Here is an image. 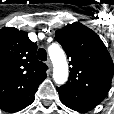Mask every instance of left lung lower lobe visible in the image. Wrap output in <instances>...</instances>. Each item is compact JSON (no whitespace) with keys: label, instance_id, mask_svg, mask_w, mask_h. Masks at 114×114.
I'll return each instance as SVG.
<instances>
[{"label":"left lung lower lobe","instance_id":"0a47b994","mask_svg":"<svg viewBox=\"0 0 114 114\" xmlns=\"http://www.w3.org/2000/svg\"><path fill=\"white\" fill-rule=\"evenodd\" d=\"M57 91L59 93L61 102L67 107L78 112L89 111L95 108L103 100V98L86 93L76 92L64 87L57 88Z\"/></svg>","mask_w":114,"mask_h":114}]
</instances>
